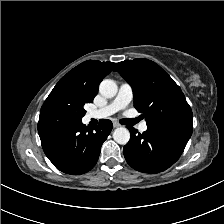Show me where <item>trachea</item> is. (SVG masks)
Returning a JSON list of instances; mask_svg holds the SVG:
<instances>
[{
    "mask_svg": "<svg viewBox=\"0 0 224 224\" xmlns=\"http://www.w3.org/2000/svg\"><path fill=\"white\" fill-rule=\"evenodd\" d=\"M134 121H131V120H127V119H123L121 120V123L122 124H129V123H133Z\"/></svg>",
    "mask_w": 224,
    "mask_h": 224,
    "instance_id": "obj_1",
    "label": "trachea"
}]
</instances>
